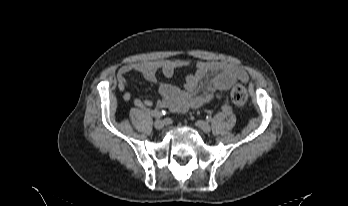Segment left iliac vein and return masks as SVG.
<instances>
[{
    "label": "left iliac vein",
    "instance_id": "1",
    "mask_svg": "<svg viewBox=\"0 0 348 206\" xmlns=\"http://www.w3.org/2000/svg\"><path fill=\"white\" fill-rule=\"evenodd\" d=\"M196 126L204 133H209L211 131V126L205 121H197Z\"/></svg>",
    "mask_w": 348,
    "mask_h": 206
}]
</instances>
